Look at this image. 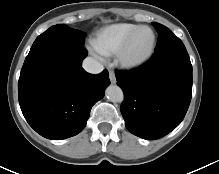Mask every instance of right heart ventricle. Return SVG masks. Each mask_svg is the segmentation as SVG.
Masks as SVG:
<instances>
[{"mask_svg": "<svg viewBox=\"0 0 219 174\" xmlns=\"http://www.w3.org/2000/svg\"><path fill=\"white\" fill-rule=\"evenodd\" d=\"M139 25L133 23H115L101 28L92 40L95 50L103 55L116 54L127 36Z\"/></svg>", "mask_w": 219, "mask_h": 174, "instance_id": "obj_1", "label": "right heart ventricle"}]
</instances>
